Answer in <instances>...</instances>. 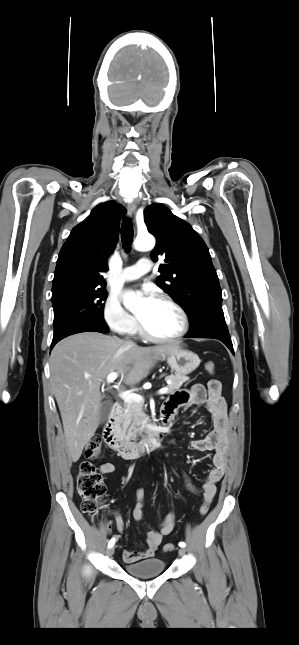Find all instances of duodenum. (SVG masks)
I'll return each mask as SVG.
<instances>
[{
    "label": "duodenum",
    "mask_w": 299,
    "mask_h": 645,
    "mask_svg": "<svg viewBox=\"0 0 299 645\" xmlns=\"http://www.w3.org/2000/svg\"><path fill=\"white\" fill-rule=\"evenodd\" d=\"M122 413V407L115 403L110 411L108 420L103 429L105 443L124 459H134L149 451L159 448L164 437V428H158L150 433L140 442L125 440L119 433L118 421ZM169 420H163L166 425Z\"/></svg>",
    "instance_id": "1"
}]
</instances>
